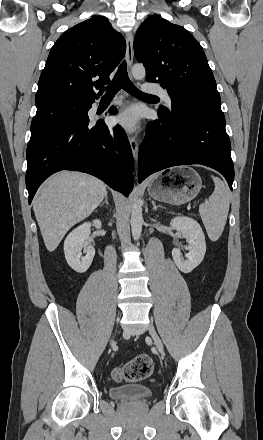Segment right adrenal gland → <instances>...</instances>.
<instances>
[{"mask_svg": "<svg viewBox=\"0 0 263 440\" xmlns=\"http://www.w3.org/2000/svg\"><path fill=\"white\" fill-rule=\"evenodd\" d=\"M104 203H106L107 205H109V202H108V195L105 196V200L100 204V206H102Z\"/></svg>", "mask_w": 263, "mask_h": 440, "instance_id": "right-adrenal-gland-1", "label": "right adrenal gland"}]
</instances>
